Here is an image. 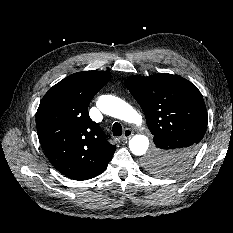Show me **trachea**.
Listing matches in <instances>:
<instances>
[{"mask_svg": "<svg viewBox=\"0 0 233 233\" xmlns=\"http://www.w3.org/2000/svg\"><path fill=\"white\" fill-rule=\"evenodd\" d=\"M112 132H113V136H121L122 135V126L120 125V123L115 122L113 124L112 127Z\"/></svg>", "mask_w": 233, "mask_h": 233, "instance_id": "3493384b", "label": "trachea"}]
</instances>
